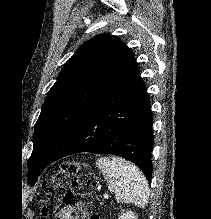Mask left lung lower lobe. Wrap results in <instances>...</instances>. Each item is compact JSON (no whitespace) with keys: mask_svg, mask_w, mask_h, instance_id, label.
I'll list each match as a JSON object with an SVG mask.
<instances>
[{"mask_svg":"<svg viewBox=\"0 0 211 219\" xmlns=\"http://www.w3.org/2000/svg\"><path fill=\"white\" fill-rule=\"evenodd\" d=\"M152 122L149 95L135 61L84 115L57 155L39 149L33 161L44 169L81 152L112 154L135 163L151 182Z\"/></svg>","mask_w":211,"mask_h":219,"instance_id":"0a47b994","label":"left lung lower lobe"}]
</instances>
